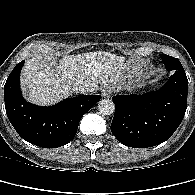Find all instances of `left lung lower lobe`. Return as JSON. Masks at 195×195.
Listing matches in <instances>:
<instances>
[{
  "instance_id": "obj_1",
  "label": "left lung lower lobe",
  "mask_w": 195,
  "mask_h": 195,
  "mask_svg": "<svg viewBox=\"0 0 195 195\" xmlns=\"http://www.w3.org/2000/svg\"><path fill=\"white\" fill-rule=\"evenodd\" d=\"M187 91L188 80L184 69H180L173 70L157 91L112 97V133L121 143L134 148L152 147L168 140L184 118Z\"/></svg>"
}]
</instances>
